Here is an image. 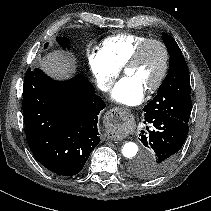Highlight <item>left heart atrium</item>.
Here are the masks:
<instances>
[{
    "label": "left heart atrium",
    "instance_id": "1",
    "mask_svg": "<svg viewBox=\"0 0 211 211\" xmlns=\"http://www.w3.org/2000/svg\"><path fill=\"white\" fill-rule=\"evenodd\" d=\"M145 89L133 77L126 76L122 78L113 88L111 97L120 104L136 105L144 97Z\"/></svg>",
    "mask_w": 211,
    "mask_h": 211
}]
</instances>
